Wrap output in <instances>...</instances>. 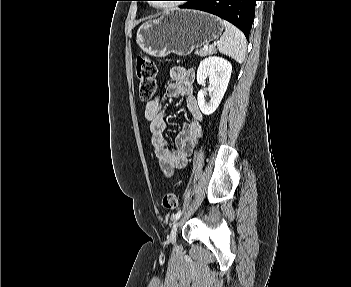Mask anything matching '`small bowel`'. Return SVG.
Returning a JSON list of instances; mask_svg holds the SVG:
<instances>
[{"label":"small bowel","instance_id":"c3829d8e","mask_svg":"<svg viewBox=\"0 0 351 287\" xmlns=\"http://www.w3.org/2000/svg\"><path fill=\"white\" fill-rule=\"evenodd\" d=\"M172 82L165 88V94L169 98L185 99L187 109L191 115V121L185 123L174 141V147L170 148L165 137L166 111L160 100L155 98L145 105L144 116L149 123L152 135V146L160 168L166 176H171L176 169H182L187 165L188 159L196 147L197 140L203 131V113L200 110L194 95V72L184 67H172L170 69Z\"/></svg>","mask_w":351,"mask_h":287}]
</instances>
